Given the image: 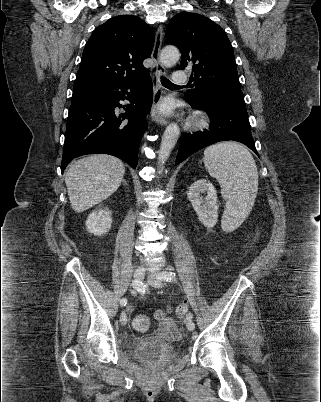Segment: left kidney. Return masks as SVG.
Returning a JSON list of instances; mask_svg holds the SVG:
<instances>
[{"label": "left kidney", "mask_w": 321, "mask_h": 402, "mask_svg": "<svg viewBox=\"0 0 321 402\" xmlns=\"http://www.w3.org/2000/svg\"><path fill=\"white\" fill-rule=\"evenodd\" d=\"M203 192H207L205 198L200 195ZM187 198L197 213L199 221L207 228L214 227L218 221V198L213 184L206 179L195 181L187 192Z\"/></svg>", "instance_id": "5707ae66"}]
</instances>
